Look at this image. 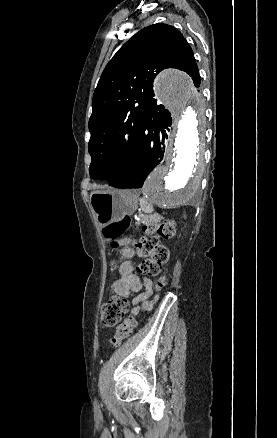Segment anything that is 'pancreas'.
<instances>
[{
    "mask_svg": "<svg viewBox=\"0 0 277 438\" xmlns=\"http://www.w3.org/2000/svg\"><path fill=\"white\" fill-rule=\"evenodd\" d=\"M132 219L138 223H158L159 216L158 214H138L133 216Z\"/></svg>",
    "mask_w": 277,
    "mask_h": 438,
    "instance_id": "obj_1",
    "label": "pancreas"
}]
</instances>
